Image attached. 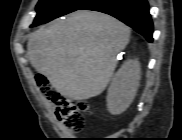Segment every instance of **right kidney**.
Masks as SVG:
<instances>
[{"label":"right kidney","mask_w":182,"mask_h":140,"mask_svg":"<svg viewBox=\"0 0 182 140\" xmlns=\"http://www.w3.org/2000/svg\"><path fill=\"white\" fill-rule=\"evenodd\" d=\"M141 76L138 60H128L114 75L107 93V109L112 115L123 113L133 101Z\"/></svg>","instance_id":"obj_1"}]
</instances>
